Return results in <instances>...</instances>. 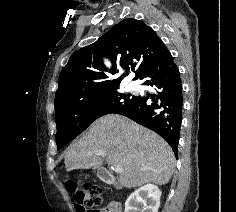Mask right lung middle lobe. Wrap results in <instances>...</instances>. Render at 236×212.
<instances>
[{
  "label": "right lung middle lobe",
  "mask_w": 236,
  "mask_h": 212,
  "mask_svg": "<svg viewBox=\"0 0 236 212\" xmlns=\"http://www.w3.org/2000/svg\"><path fill=\"white\" fill-rule=\"evenodd\" d=\"M135 96L124 95L118 88L76 100L55 112L57 149H61L99 117L129 105Z\"/></svg>",
  "instance_id": "1"
}]
</instances>
